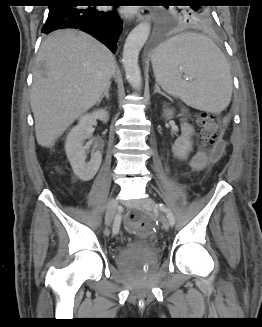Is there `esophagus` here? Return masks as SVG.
Returning <instances> with one entry per match:
<instances>
[{
    "label": "esophagus",
    "instance_id": "34e87169",
    "mask_svg": "<svg viewBox=\"0 0 262 327\" xmlns=\"http://www.w3.org/2000/svg\"><path fill=\"white\" fill-rule=\"evenodd\" d=\"M153 19V13L150 8H142L137 13V21L150 22Z\"/></svg>",
    "mask_w": 262,
    "mask_h": 327
}]
</instances>
